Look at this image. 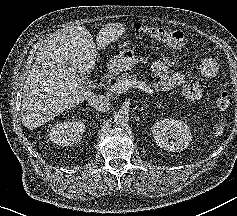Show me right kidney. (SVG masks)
Segmentation results:
<instances>
[{"label": "right kidney", "mask_w": 237, "mask_h": 216, "mask_svg": "<svg viewBox=\"0 0 237 216\" xmlns=\"http://www.w3.org/2000/svg\"><path fill=\"white\" fill-rule=\"evenodd\" d=\"M73 138H74V139L72 140V142H74V141H76V140H79L81 137H78V135H75Z\"/></svg>", "instance_id": "right-kidney-1"}]
</instances>
